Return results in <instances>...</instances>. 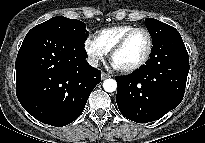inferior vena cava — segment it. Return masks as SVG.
Masks as SVG:
<instances>
[{
    "mask_svg": "<svg viewBox=\"0 0 205 143\" xmlns=\"http://www.w3.org/2000/svg\"><path fill=\"white\" fill-rule=\"evenodd\" d=\"M87 62L89 63L90 66L92 67H98V59L96 57H88Z\"/></svg>",
    "mask_w": 205,
    "mask_h": 143,
    "instance_id": "1",
    "label": "inferior vena cava"
}]
</instances>
